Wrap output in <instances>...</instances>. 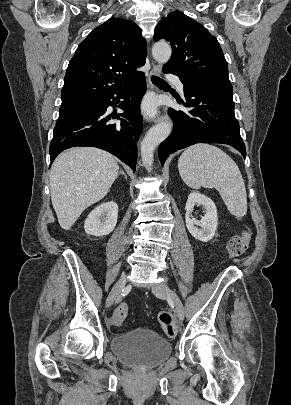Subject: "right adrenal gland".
Here are the masks:
<instances>
[{"mask_svg": "<svg viewBox=\"0 0 291 405\" xmlns=\"http://www.w3.org/2000/svg\"><path fill=\"white\" fill-rule=\"evenodd\" d=\"M120 174L124 175L125 179H127V175L125 174V172H124L122 169H120L118 176H119Z\"/></svg>", "mask_w": 291, "mask_h": 405, "instance_id": "right-adrenal-gland-1", "label": "right adrenal gland"}]
</instances>
